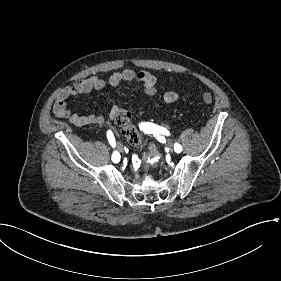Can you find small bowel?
Returning <instances> with one entry per match:
<instances>
[{
	"label": "small bowel",
	"instance_id": "obj_1",
	"mask_svg": "<svg viewBox=\"0 0 281 281\" xmlns=\"http://www.w3.org/2000/svg\"><path fill=\"white\" fill-rule=\"evenodd\" d=\"M157 79L158 76L154 72L147 70L136 71L131 68L114 72L105 79L98 76L81 79L71 87L60 91L54 104L53 112L57 117L67 120L76 127L110 124L112 121H115L116 116L120 112L128 111L114 105L109 111L108 116L98 113L78 114L70 110L69 100L76 97L87 98L93 91H99L108 86L115 87L123 82H140L144 93L148 96H153L156 93ZM177 99L178 94L175 91H168L164 94V101L166 103H173Z\"/></svg>",
	"mask_w": 281,
	"mask_h": 281
}]
</instances>
